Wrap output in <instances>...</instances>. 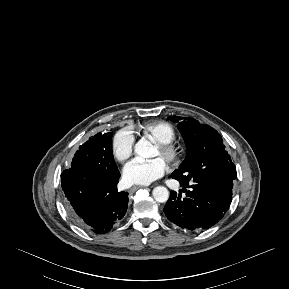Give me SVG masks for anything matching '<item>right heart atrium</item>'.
Here are the masks:
<instances>
[{"instance_id":"d8ad5b80","label":"right heart atrium","mask_w":289,"mask_h":289,"mask_svg":"<svg viewBox=\"0 0 289 289\" xmlns=\"http://www.w3.org/2000/svg\"><path fill=\"white\" fill-rule=\"evenodd\" d=\"M135 137L128 129L118 130L111 140V150L119 162H125L133 152Z\"/></svg>"}]
</instances>
